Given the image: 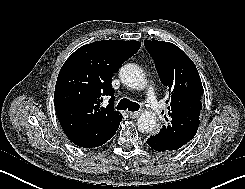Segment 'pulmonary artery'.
I'll use <instances>...</instances> for the list:
<instances>
[{"mask_svg": "<svg viewBox=\"0 0 245 189\" xmlns=\"http://www.w3.org/2000/svg\"><path fill=\"white\" fill-rule=\"evenodd\" d=\"M146 100L153 111H156L158 109V103H157L156 96H155V90L152 86H150L147 90Z\"/></svg>", "mask_w": 245, "mask_h": 189, "instance_id": "e3ab8cb5", "label": "pulmonary artery"}]
</instances>
